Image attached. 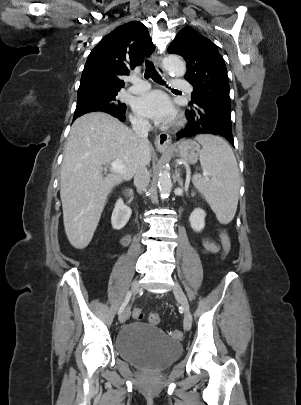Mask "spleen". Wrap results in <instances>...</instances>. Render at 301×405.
<instances>
[{"mask_svg": "<svg viewBox=\"0 0 301 405\" xmlns=\"http://www.w3.org/2000/svg\"><path fill=\"white\" fill-rule=\"evenodd\" d=\"M195 139L202 145L200 163L204 176L195 174L193 184L205 196L218 221L228 224L238 204L239 171L235 155L220 137L200 135Z\"/></svg>", "mask_w": 301, "mask_h": 405, "instance_id": "1", "label": "spleen"}]
</instances>
